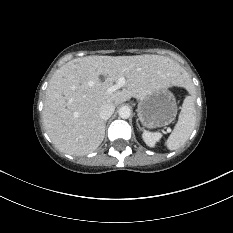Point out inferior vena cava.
I'll list each match as a JSON object with an SVG mask.
<instances>
[{
	"instance_id": "1",
	"label": "inferior vena cava",
	"mask_w": 233,
	"mask_h": 233,
	"mask_svg": "<svg viewBox=\"0 0 233 233\" xmlns=\"http://www.w3.org/2000/svg\"><path fill=\"white\" fill-rule=\"evenodd\" d=\"M115 105L113 104H104L99 110V116L102 120H108L114 113Z\"/></svg>"
}]
</instances>
